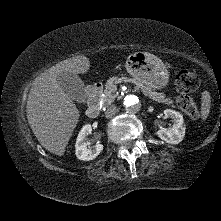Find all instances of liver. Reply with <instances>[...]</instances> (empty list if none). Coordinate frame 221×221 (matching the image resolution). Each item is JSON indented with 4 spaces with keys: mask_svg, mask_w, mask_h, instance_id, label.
<instances>
[{
    "mask_svg": "<svg viewBox=\"0 0 221 221\" xmlns=\"http://www.w3.org/2000/svg\"><path fill=\"white\" fill-rule=\"evenodd\" d=\"M89 68L87 57H72L47 69L32 84L26 105L28 123L40 144L53 154L64 155L80 117L75 103L58 84V76L84 74Z\"/></svg>",
    "mask_w": 221,
    "mask_h": 221,
    "instance_id": "liver-1",
    "label": "liver"
}]
</instances>
